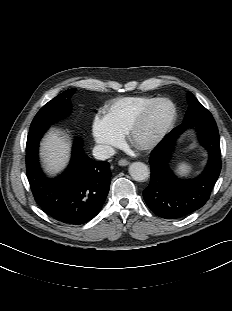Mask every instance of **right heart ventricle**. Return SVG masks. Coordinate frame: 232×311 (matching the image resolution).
<instances>
[{"label": "right heart ventricle", "mask_w": 232, "mask_h": 311, "mask_svg": "<svg viewBox=\"0 0 232 311\" xmlns=\"http://www.w3.org/2000/svg\"><path fill=\"white\" fill-rule=\"evenodd\" d=\"M155 99L156 97L152 96L118 98L108 105L104 119L117 134L123 136L127 133L139 112Z\"/></svg>", "instance_id": "e07e8e85"}]
</instances>
